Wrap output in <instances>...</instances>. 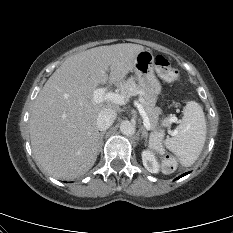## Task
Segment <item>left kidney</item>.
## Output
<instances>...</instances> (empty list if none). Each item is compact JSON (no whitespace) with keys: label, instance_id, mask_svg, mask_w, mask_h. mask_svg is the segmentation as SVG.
<instances>
[{"label":"left kidney","instance_id":"1","mask_svg":"<svg viewBox=\"0 0 233 233\" xmlns=\"http://www.w3.org/2000/svg\"><path fill=\"white\" fill-rule=\"evenodd\" d=\"M142 162L144 167L151 173H158L160 165L155 157V154L150 150L142 152Z\"/></svg>","mask_w":233,"mask_h":233}]
</instances>
